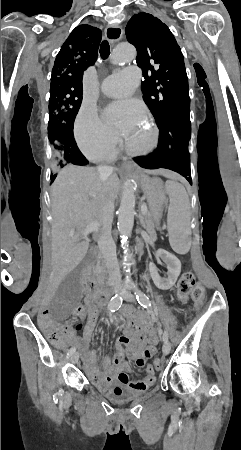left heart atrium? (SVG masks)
Here are the masks:
<instances>
[{
    "label": "left heart atrium",
    "instance_id": "39dd6f15",
    "mask_svg": "<svg viewBox=\"0 0 241 450\" xmlns=\"http://www.w3.org/2000/svg\"><path fill=\"white\" fill-rule=\"evenodd\" d=\"M134 105H138L137 109L140 113H143V109L142 107L135 103V102H119V103H115L110 111L117 115V114H122L125 113L126 111H128L129 109H131V107H133ZM119 119V118H118ZM116 127H125V122L122 119H119L115 124Z\"/></svg>",
    "mask_w": 241,
    "mask_h": 450
}]
</instances>
